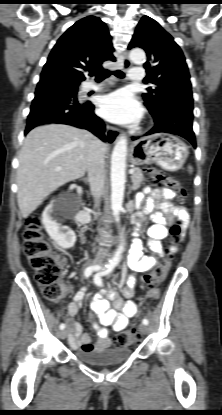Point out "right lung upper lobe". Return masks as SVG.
I'll list each match as a JSON object with an SVG mask.
<instances>
[{
  "label": "right lung upper lobe",
  "mask_w": 222,
  "mask_h": 415,
  "mask_svg": "<svg viewBox=\"0 0 222 415\" xmlns=\"http://www.w3.org/2000/svg\"><path fill=\"white\" fill-rule=\"evenodd\" d=\"M111 36L104 22L88 16L72 25L53 47L42 73L53 72L80 83L94 75L104 61H115Z\"/></svg>",
  "instance_id": "cb5924a9"
}]
</instances>
